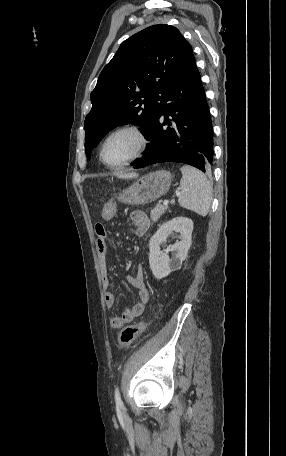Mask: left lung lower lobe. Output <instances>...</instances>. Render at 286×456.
<instances>
[{
    "label": "left lung lower lobe",
    "instance_id": "obj_1",
    "mask_svg": "<svg viewBox=\"0 0 286 456\" xmlns=\"http://www.w3.org/2000/svg\"><path fill=\"white\" fill-rule=\"evenodd\" d=\"M146 139L151 143L144 152L145 157L131 163L134 168L158 162H179L210 175L213 128L195 60L171 86Z\"/></svg>",
    "mask_w": 286,
    "mask_h": 456
}]
</instances>
